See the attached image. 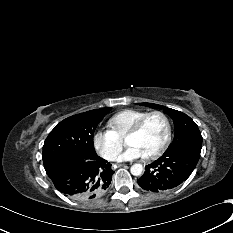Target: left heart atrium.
Masks as SVG:
<instances>
[{"label": "left heart atrium", "mask_w": 233, "mask_h": 233, "mask_svg": "<svg viewBox=\"0 0 233 233\" xmlns=\"http://www.w3.org/2000/svg\"><path fill=\"white\" fill-rule=\"evenodd\" d=\"M145 154L141 149H139L135 145H128L124 152L119 155L118 160L119 161H130V160H135L141 157H144Z\"/></svg>", "instance_id": "left-heart-atrium-1"}]
</instances>
